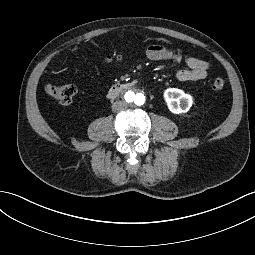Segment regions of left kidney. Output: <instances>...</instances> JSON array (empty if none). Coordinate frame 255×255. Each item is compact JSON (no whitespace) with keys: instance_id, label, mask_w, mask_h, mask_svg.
<instances>
[{"instance_id":"left-kidney-1","label":"left kidney","mask_w":255,"mask_h":255,"mask_svg":"<svg viewBox=\"0 0 255 255\" xmlns=\"http://www.w3.org/2000/svg\"><path fill=\"white\" fill-rule=\"evenodd\" d=\"M164 99L172 113L179 114L187 112L192 106L193 99L185 94L183 90L168 88L164 92Z\"/></svg>"}]
</instances>
